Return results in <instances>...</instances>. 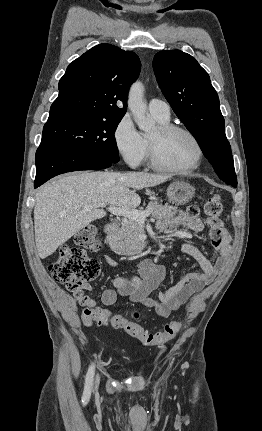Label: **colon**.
Wrapping results in <instances>:
<instances>
[{"mask_svg": "<svg viewBox=\"0 0 262 431\" xmlns=\"http://www.w3.org/2000/svg\"><path fill=\"white\" fill-rule=\"evenodd\" d=\"M198 207L191 205L190 214H196ZM204 214L208 218H218L223 212L221 197L213 194L206 200L203 207ZM73 245H65L59 253L57 259L49 266V271L53 278L68 291L74 292L86 286L94 280L100 270L97 261L89 258L85 250L96 251L100 248L97 240V228L89 226L75 235ZM85 325L109 323L114 329H123L133 337L140 340L144 345H162L172 339L181 331L183 323L176 320L167 324L163 331L150 333L143 326L130 320L125 316H113L105 318L103 316H83Z\"/></svg>", "mask_w": 262, "mask_h": 431, "instance_id": "colon-1", "label": "colon"}]
</instances>
